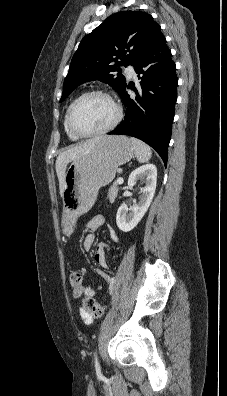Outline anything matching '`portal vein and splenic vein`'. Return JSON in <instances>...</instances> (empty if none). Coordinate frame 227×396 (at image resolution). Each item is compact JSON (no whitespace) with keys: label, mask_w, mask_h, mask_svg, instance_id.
Wrapping results in <instances>:
<instances>
[{"label":"portal vein and splenic vein","mask_w":227,"mask_h":396,"mask_svg":"<svg viewBox=\"0 0 227 396\" xmlns=\"http://www.w3.org/2000/svg\"><path fill=\"white\" fill-rule=\"evenodd\" d=\"M123 181H124V180H123L122 177H119V178L117 179V183H118V184H123Z\"/></svg>","instance_id":"obj_1"}]
</instances>
